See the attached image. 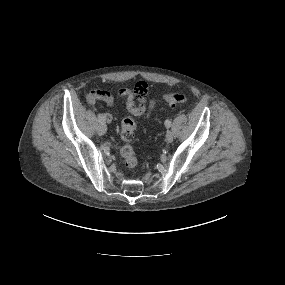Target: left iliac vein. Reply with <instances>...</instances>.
Instances as JSON below:
<instances>
[{
    "mask_svg": "<svg viewBox=\"0 0 285 285\" xmlns=\"http://www.w3.org/2000/svg\"><path fill=\"white\" fill-rule=\"evenodd\" d=\"M173 139H174V134L171 131H168L167 134H166V140L168 142H172Z\"/></svg>",
    "mask_w": 285,
    "mask_h": 285,
    "instance_id": "4c4485c4",
    "label": "left iliac vein"
}]
</instances>
